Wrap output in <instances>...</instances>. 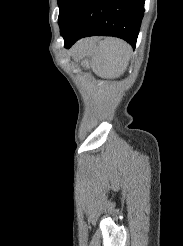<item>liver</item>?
Returning <instances> with one entry per match:
<instances>
[{"instance_id":"obj_1","label":"liver","mask_w":183,"mask_h":246,"mask_svg":"<svg viewBox=\"0 0 183 246\" xmlns=\"http://www.w3.org/2000/svg\"><path fill=\"white\" fill-rule=\"evenodd\" d=\"M97 40L96 39H89V40H87V41H84L83 43H82V45H92V44H94L95 42H96Z\"/></svg>"}]
</instances>
